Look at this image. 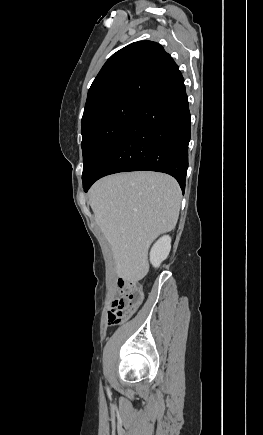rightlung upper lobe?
<instances>
[{"mask_svg":"<svg viewBox=\"0 0 263 435\" xmlns=\"http://www.w3.org/2000/svg\"><path fill=\"white\" fill-rule=\"evenodd\" d=\"M180 73L160 44L132 43L113 54L96 76L88 91L82 120L104 104L120 100L144 103Z\"/></svg>","mask_w":263,"mask_h":435,"instance_id":"1","label":"right lung upper lobe"}]
</instances>
